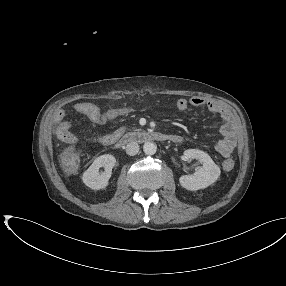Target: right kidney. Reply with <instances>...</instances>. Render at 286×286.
Segmentation results:
<instances>
[{
  "mask_svg": "<svg viewBox=\"0 0 286 286\" xmlns=\"http://www.w3.org/2000/svg\"><path fill=\"white\" fill-rule=\"evenodd\" d=\"M116 164V158L111 154H104L97 157L91 166L83 173V183L93 190H100L107 187L112 174V169ZM104 167V172L99 169Z\"/></svg>",
  "mask_w": 286,
  "mask_h": 286,
  "instance_id": "1",
  "label": "right kidney"
}]
</instances>
